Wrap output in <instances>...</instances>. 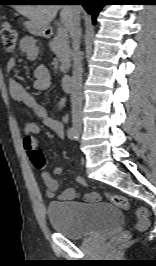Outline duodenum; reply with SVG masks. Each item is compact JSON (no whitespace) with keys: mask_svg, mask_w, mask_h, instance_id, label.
<instances>
[{"mask_svg":"<svg viewBox=\"0 0 156 266\" xmlns=\"http://www.w3.org/2000/svg\"><path fill=\"white\" fill-rule=\"evenodd\" d=\"M62 86L66 91H70L72 88V77L70 74H64L61 79Z\"/></svg>","mask_w":156,"mask_h":266,"instance_id":"1","label":"duodenum"}]
</instances>
